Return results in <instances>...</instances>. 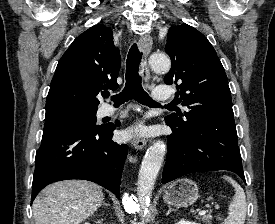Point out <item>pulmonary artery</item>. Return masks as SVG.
<instances>
[{
	"label": "pulmonary artery",
	"mask_w": 275,
	"mask_h": 224,
	"mask_svg": "<svg viewBox=\"0 0 275 224\" xmlns=\"http://www.w3.org/2000/svg\"><path fill=\"white\" fill-rule=\"evenodd\" d=\"M172 96V91L171 88L168 86H162V87H156L153 90V97L157 101H169ZM115 108L112 107L111 105H108L105 108V114L106 115H112L115 113Z\"/></svg>",
	"instance_id": "1"
}]
</instances>
